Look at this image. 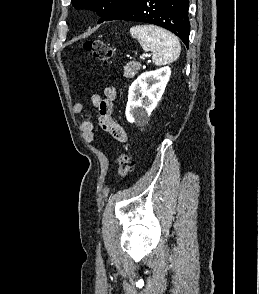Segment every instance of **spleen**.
Instances as JSON below:
<instances>
[{
    "label": "spleen",
    "instance_id": "spleen-1",
    "mask_svg": "<svg viewBox=\"0 0 259 294\" xmlns=\"http://www.w3.org/2000/svg\"><path fill=\"white\" fill-rule=\"evenodd\" d=\"M144 51L152 52V61L161 66L174 62L180 55L181 45L172 33L154 25H137L130 29Z\"/></svg>",
    "mask_w": 259,
    "mask_h": 294
}]
</instances>
